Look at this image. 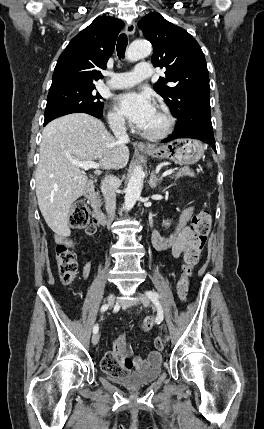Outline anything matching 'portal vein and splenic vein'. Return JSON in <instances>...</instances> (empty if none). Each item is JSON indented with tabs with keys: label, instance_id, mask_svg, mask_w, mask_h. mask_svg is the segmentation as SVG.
Returning a JSON list of instances; mask_svg holds the SVG:
<instances>
[{
	"label": "portal vein and splenic vein",
	"instance_id": "18ae733b",
	"mask_svg": "<svg viewBox=\"0 0 264 429\" xmlns=\"http://www.w3.org/2000/svg\"><path fill=\"white\" fill-rule=\"evenodd\" d=\"M72 164H73V165H75V166H77V167L82 168L83 170L99 169V168H100V165H99L97 162H94V161H76V160H73V161H72ZM173 172H174V170H173V169L166 170V171L162 174V177L169 176V175H171Z\"/></svg>",
	"mask_w": 264,
	"mask_h": 429
}]
</instances>
